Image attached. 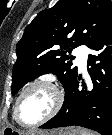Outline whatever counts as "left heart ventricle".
<instances>
[{"label": "left heart ventricle", "mask_w": 112, "mask_h": 135, "mask_svg": "<svg viewBox=\"0 0 112 135\" xmlns=\"http://www.w3.org/2000/svg\"><path fill=\"white\" fill-rule=\"evenodd\" d=\"M56 103V94L47 86L28 90L20 103V114L26 122H36L45 117Z\"/></svg>", "instance_id": "1"}]
</instances>
